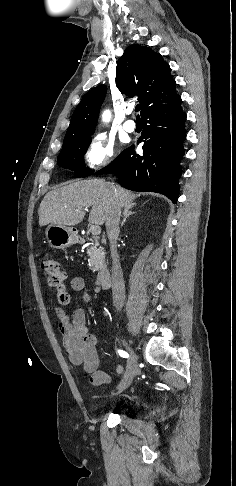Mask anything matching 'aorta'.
I'll return each instance as SVG.
<instances>
[{"label": "aorta", "mask_w": 236, "mask_h": 486, "mask_svg": "<svg viewBox=\"0 0 236 486\" xmlns=\"http://www.w3.org/2000/svg\"><path fill=\"white\" fill-rule=\"evenodd\" d=\"M103 118H104L105 120H108V118H109V114H108L107 112H106V113H104Z\"/></svg>", "instance_id": "aorta-1"}]
</instances>
